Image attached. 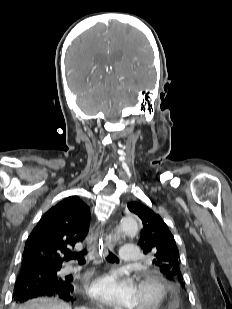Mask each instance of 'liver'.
<instances>
[{
	"label": "liver",
	"mask_w": 232,
	"mask_h": 309,
	"mask_svg": "<svg viewBox=\"0 0 232 309\" xmlns=\"http://www.w3.org/2000/svg\"><path fill=\"white\" fill-rule=\"evenodd\" d=\"M18 309H72L67 303L52 298H36L19 306Z\"/></svg>",
	"instance_id": "liver-1"
}]
</instances>
